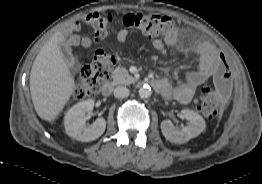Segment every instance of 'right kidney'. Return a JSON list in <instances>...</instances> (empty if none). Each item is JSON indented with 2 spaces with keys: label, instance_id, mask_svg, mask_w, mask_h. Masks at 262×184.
I'll use <instances>...</instances> for the list:
<instances>
[{
  "label": "right kidney",
  "instance_id": "right-kidney-1",
  "mask_svg": "<svg viewBox=\"0 0 262 184\" xmlns=\"http://www.w3.org/2000/svg\"><path fill=\"white\" fill-rule=\"evenodd\" d=\"M94 107V100L88 99L71 107L64 119V126L68 136L73 139L90 142L99 138L105 131L106 122L104 118H97L96 121L87 126L85 113Z\"/></svg>",
  "mask_w": 262,
  "mask_h": 184
}]
</instances>
